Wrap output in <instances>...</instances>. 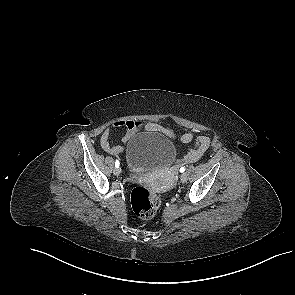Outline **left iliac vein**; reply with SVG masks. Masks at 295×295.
I'll return each instance as SVG.
<instances>
[{"mask_svg": "<svg viewBox=\"0 0 295 295\" xmlns=\"http://www.w3.org/2000/svg\"><path fill=\"white\" fill-rule=\"evenodd\" d=\"M180 180L182 183H185L187 181V175L185 173H183L181 176H180Z\"/></svg>", "mask_w": 295, "mask_h": 295, "instance_id": "4c4485c4", "label": "left iliac vein"}]
</instances>
